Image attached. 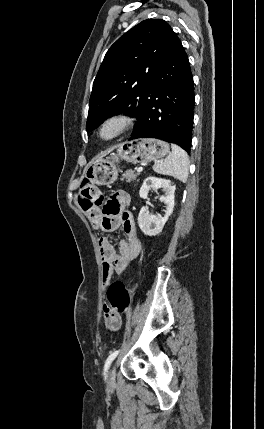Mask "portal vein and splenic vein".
I'll list each match as a JSON object with an SVG mask.
<instances>
[{
  "mask_svg": "<svg viewBox=\"0 0 264 429\" xmlns=\"http://www.w3.org/2000/svg\"><path fill=\"white\" fill-rule=\"evenodd\" d=\"M143 171V167H138L137 168V172H142Z\"/></svg>",
  "mask_w": 264,
  "mask_h": 429,
  "instance_id": "obj_1",
  "label": "portal vein and splenic vein"
}]
</instances>
